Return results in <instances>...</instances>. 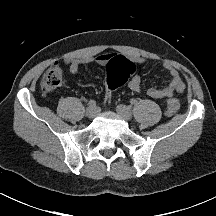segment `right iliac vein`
Here are the masks:
<instances>
[{
	"label": "right iliac vein",
	"mask_w": 216,
	"mask_h": 216,
	"mask_svg": "<svg viewBox=\"0 0 216 216\" xmlns=\"http://www.w3.org/2000/svg\"><path fill=\"white\" fill-rule=\"evenodd\" d=\"M97 113H98V109L96 108V107H88L87 109H86V116L88 117V118H94L96 115H97Z\"/></svg>",
	"instance_id": "obj_1"
}]
</instances>
